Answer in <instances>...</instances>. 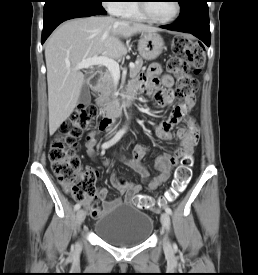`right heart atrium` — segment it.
Instances as JSON below:
<instances>
[{
  "label": "right heart atrium",
  "mask_w": 258,
  "mask_h": 275,
  "mask_svg": "<svg viewBox=\"0 0 258 275\" xmlns=\"http://www.w3.org/2000/svg\"><path fill=\"white\" fill-rule=\"evenodd\" d=\"M105 2L109 10L114 14H117L118 10L123 5V3H120L123 2L122 0H106Z\"/></svg>",
  "instance_id": "1"
}]
</instances>
